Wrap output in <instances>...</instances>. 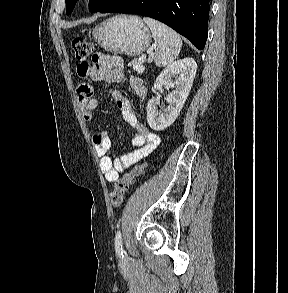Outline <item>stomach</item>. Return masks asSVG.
I'll return each instance as SVG.
<instances>
[{
    "label": "stomach",
    "instance_id": "obj_1",
    "mask_svg": "<svg viewBox=\"0 0 288 293\" xmlns=\"http://www.w3.org/2000/svg\"><path fill=\"white\" fill-rule=\"evenodd\" d=\"M92 35L105 50L133 57L143 53L151 42L149 28L132 15L111 17L97 25Z\"/></svg>",
    "mask_w": 288,
    "mask_h": 293
}]
</instances>
